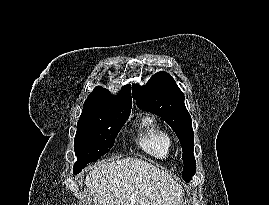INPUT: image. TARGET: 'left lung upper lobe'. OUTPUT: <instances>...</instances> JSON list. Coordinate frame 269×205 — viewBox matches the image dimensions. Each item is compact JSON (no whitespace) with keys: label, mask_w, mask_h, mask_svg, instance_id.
I'll list each match as a JSON object with an SVG mask.
<instances>
[{"label":"left lung upper lobe","mask_w":269,"mask_h":205,"mask_svg":"<svg viewBox=\"0 0 269 205\" xmlns=\"http://www.w3.org/2000/svg\"><path fill=\"white\" fill-rule=\"evenodd\" d=\"M132 95L140 109L164 119L182 145L183 180L189 182L196 173L191 116L184 104V94L166 72L154 74L144 86L132 85Z\"/></svg>","instance_id":"5c2ea615"}]
</instances>
